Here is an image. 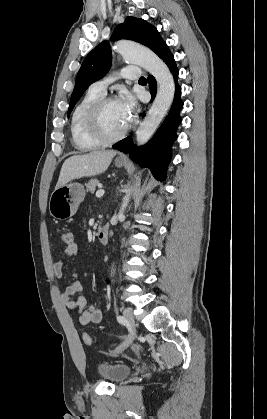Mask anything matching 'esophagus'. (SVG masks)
Here are the masks:
<instances>
[{"mask_svg": "<svg viewBox=\"0 0 267 419\" xmlns=\"http://www.w3.org/2000/svg\"><path fill=\"white\" fill-rule=\"evenodd\" d=\"M120 158H121V159H125V157H124V156H120Z\"/></svg>", "mask_w": 267, "mask_h": 419, "instance_id": "esophagus-1", "label": "esophagus"}]
</instances>
